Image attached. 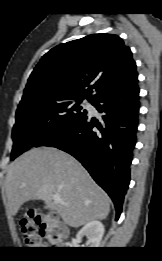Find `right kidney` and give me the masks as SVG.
<instances>
[{
  "instance_id": "ca27d5eb",
  "label": "right kidney",
  "mask_w": 162,
  "mask_h": 261,
  "mask_svg": "<svg viewBox=\"0 0 162 261\" xmlns=\"http://www.w3.org/2000/svg\"><path fill=\"white\" fill-rule=\"evenodd\" d=\"M104 235V226L100 221L94 220L86 224L77 234V240L84 236L89 239L88 247L98 248Z\"/></svg>"
}]
</instances>
